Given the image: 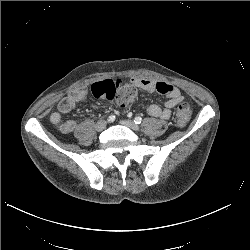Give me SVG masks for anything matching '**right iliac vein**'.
I'll list each match as a JSON object with an SVG mask.
<instances>
[{
	"label": "right iliac vein",
	"instance_id": "63e3f726",
	"mask_svg": "<svg viewBox=\"0 0 250 250\" xmlns=\"http://www.w3.org/2000/svg\"><path fill=\"white\" fill-rule=\"evenodd\" d=\"M106 125H107V122L105 121V120H99L97 123H96V125H95V129L97 130V131H102V130H104L105 129V127H106Z\"/></svg>",
	"mask_w": 250,
	"mask_h": 250
}]
</instances>
